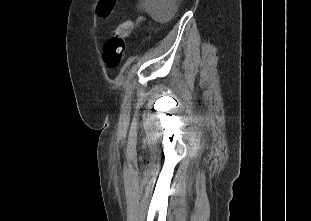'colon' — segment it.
<instances>
[{
	"label": "colon",
	"mask_w": 311,
	"mask_h": 221,
	"mask_svg": "<svg viewBox=\"0 0 311 221\" xmlns=\"http://www.w3.org/2000/svg\"><path fill=\"white\" fill-rule=\"evenodd\" d=\"M114 2L115 0H102L100 6L95 7V17H99L101 20L108 19L110 9L115 8ZM132 27V21L122 22L115 29L114 35L105 42L103 59L109 68L118 67L122 61L125 50V38L131 32Z\"/></svg>",
	"instance_id": "1"
}]
</instances>
